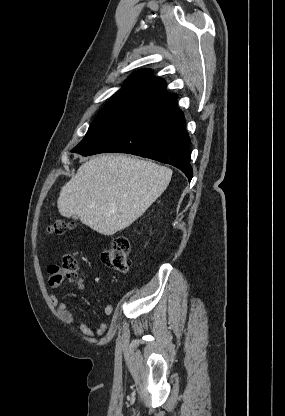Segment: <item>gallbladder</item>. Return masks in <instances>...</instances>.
Segmentation results:
<instances>
[{"label":"gallbladder","mask_w":285,"mask_h":416,"mask_svg":"<svg viewBox=\"0 0 285 416\" xmlns=\"http://www.w3.org/2000/svg\"><path fill=\"white\" fill-rule=\"evenodd\" d=\"M74 220H78V218H74Z\"/></svg>","instance_id":"obj_1"}]
</instances>
